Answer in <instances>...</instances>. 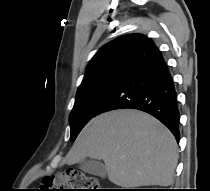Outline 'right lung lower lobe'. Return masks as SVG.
Returning <instances> with one entry per match:
<instances>
[{
  "mask_svg": "<svg viewBox=\"0 0 210 191\" xmlns=\"http://www.w3.org/2000/svg\"><path fill=\"white\" fill-rule=\"evenodd\" d=\"M131 108L161 121L179 140V110L174 83L161 52L148 39L132 56L98 114Z\"/></svg>",
  "mask_w": 210,
  "mask_h": 191,
  "instance_id": "right-lung-lower-lobe-1",
  "label": "right lung lower lobe"
}]
</instances>
